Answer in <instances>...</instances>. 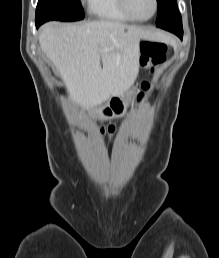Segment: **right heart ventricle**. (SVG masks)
<instances>
[{
	"label": "right heart ventricle",
	"instance_id": "right-heart-ventricle-1",
	"mask_svg": "<svg viewBox=\"0 0 219 258\" xmlns=\"http://www.w3.org/2000/svg\"><path fill=\"white\" fill-rule=\"evenodd\" d=\"M89 8L99 19L114 22L132 21L122 10L119 0H90Z\"/></svg>",
	"mask_w": 219,
	"mask_h": 258
}]
</instances>
